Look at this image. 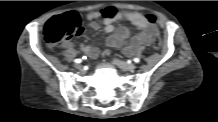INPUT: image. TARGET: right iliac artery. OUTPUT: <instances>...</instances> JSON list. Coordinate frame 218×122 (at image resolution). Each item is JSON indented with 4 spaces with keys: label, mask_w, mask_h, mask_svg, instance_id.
Returning <instances> with one entry per match:
<instances>
[{
    "label": "right iliac artery",
    "mask_w": 218,
    "mask_h": 122,
    "mask_svg": "<svg viewBox=\"0 0 218 122\" xmlns=\"http://www.w3.org/2000/svg\"><path fill=\"white\" fill-rule=\"evenodd\" d=\"M74 62H75V63H80V62H81V59H75Z\"/></svg>",
    "instance_id": "right-iliac-artery-1"
}]
</instances>
